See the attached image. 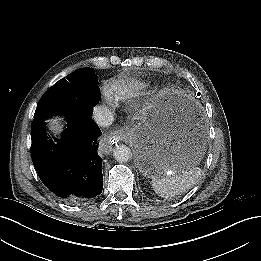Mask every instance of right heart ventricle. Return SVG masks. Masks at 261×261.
I'll return each instance as SVG.
<instances>
[{"mask_svg": "<svg viewBox=\"0 0 261 261\" xmlns=\"http://www.w3.org/2000/svg\"><path fill=\"white\" fill-rule=\"evenodd\" d=\"M112 91L116 93L117 96H120L124 92V85L119 84L113 87Z\"/></svg>", "mask_w": 261, "mask_h": 261, "instance_id": "1", "label": "right heart ventricle"}]
</instances>
